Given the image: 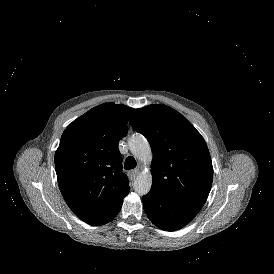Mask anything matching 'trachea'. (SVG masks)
I'll return each mask as SVG.
<instances>
[{
	"mask_svg": "<svg viewBox=\"0 0 274 274\" xmlns=\"http://www.w3.org/2000/svg\"><path fill=\"white\" fill-rule=\"evenodd\" d=\"M136 165H137V162L132 156H129L126 158L124 163L125 169H133L136 167Z\"/></svg>",
	"mask_w": 274,
	"mask_h": 274,
	"instance_id": "obj_1",
	"label": "trachea"
}]
</instances>
